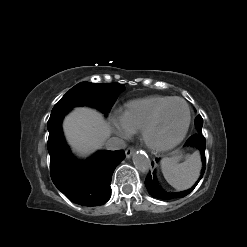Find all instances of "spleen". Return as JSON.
<instances>
[{"label":"spleen","instance_id":"1","mask_svg":"<svg viewBox=\"0 0 247 247\" xmlns=\"http://www.w3.org/2000/svg\"><path fill=\"white\" fill-rule=\"evenodd\" d=\"M161 169L166 181L177 190L190 188L198 179L201 160L198 152L186 156V160L178 163L176 157H166L161 161Z\"/></svg>","mask_w":247,"mask_h":247}]
</instances>
